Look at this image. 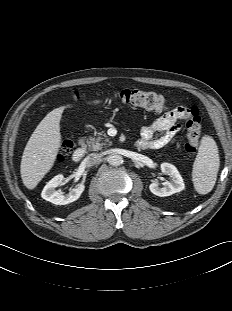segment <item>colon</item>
I'll list each match as a JSON object with an SVG mask.
<instances>
[{"label":"colon","instance_id":"obj_1","mask_svg":"<svg viewBox=\"0 0 232 311\" xmlns=\"http://www.w3.org/2000/svg\"><path fill=\"white\" fill-rule=\"evenodd\" d=\"M116 98L125 104L141 107L147 110L161 112L165 109L167 99L165 96L148 92L141 89H124L115 94ZM76 98V97H75ZM186 128H187V142L185 144V151L193 155L198 150L200 138V113L196 106L187 108L185 112ZM73 149L71 141H65L61 145L60 153L57 155V161L62 162L65 156Z\"/></svg>","mask_w":232,"mask_h":311}]
</instances>
